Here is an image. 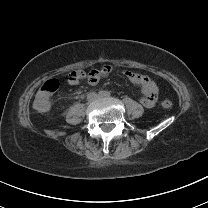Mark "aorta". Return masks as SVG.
<instances>
[{
    "mask_svg": "<svg viewBox=\"0 0 208 208\" xmlns=\"http://www.w3.org/2000/svg\"><path fill=\"white\" fill-rule=\"evenodd\" d=\"M101 96H102V98L107 99V98H109L110 93H109V91L104 90V91H102Z\"/></svg>",
    "mask_w": 208,
    "mask_h": 208,
    "instance_id": "obj_1",
    "label": "aorta"
}]
</instances>
